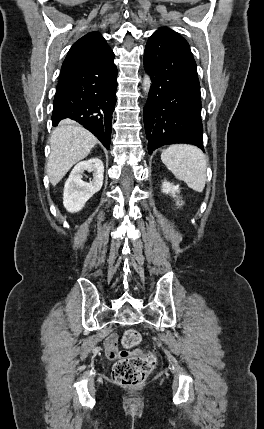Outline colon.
I'll return each mask as SVG.
<instances>
[{
  "label": "colon",
  "instance_id": "colon-1",
  "mask_svg": "<svg viewBox=\"0 0 264 429\" xmlns=\"http://www.w3.org/2000/svg\"><path fill=\"white\" fill-rule=\"evenodd\" d=\"M141 342V335L135 329H128L122 336V345L125 349H133ZM156 363L154 355L147 353L127 354L123 352L121 358L112 369L113 381L124 387L142 385L153 370Z\"/></svg>",
  "mask_w": 264,
  "mask_h": 429
}]
</instances>
